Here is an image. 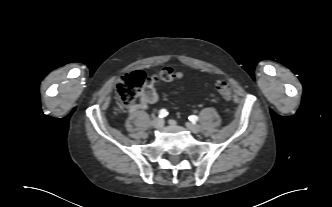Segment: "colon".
<instances>
[{"instance_id":"colon-1","label":"colon","mask_w":332,"mask_h":207,"mask_svg":"<svg viewBox=\"0 0 332 207\" xmlns=\"http://www.w3.org/2000/svg\"><path fill=\"white\" fill-rule=\"evenodd\" d=\"M180 72L174 71L172 68L166 67L160 70L157 74L152 75L150 80L154 82H172L181 78ZM146 81V76L142 71H134L119 79L116 86V98L119 103L117 114L129 108L142 91V87ZM216 89L219 94L226 100L230 101L232 98L231 86L226 81H218ZM227 114L231 113V108H226Z\"/></svg>"}]
</instances>
